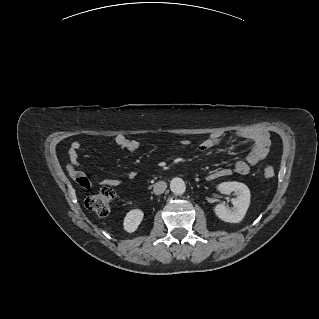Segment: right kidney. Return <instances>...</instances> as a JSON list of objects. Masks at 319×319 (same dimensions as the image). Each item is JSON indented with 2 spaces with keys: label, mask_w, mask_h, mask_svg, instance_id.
Listing matches in <instances>:
<instances>
[{
  "label": "right kidney",
  "mask_w": 319,
  "mask_h": 319,
  "mask_svg": "<svg viewBox=\"0 0 319 319\" xmlns=\"http://www.w3.org/2000/svg\"><path fill=\"white\" fill-rule=\"evenodd\" d=\"M144 213L140 209L130 210L124 218V230L132 233L137 230L139 224L143 220Z\"/></svg>",
  "instance_id": "1"
}]
</instances>
